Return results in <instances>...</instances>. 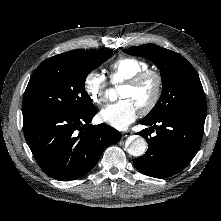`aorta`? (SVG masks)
<instances>
[{
  "mask_svg": "<svg viewBox=\"0 0 221 221\" xmlns=\"http://www.w3.org/2000/svg\"><path fill=\"white\" fill-rule=\"evenodd\" d=\"M146 149H147L146 140L141 136H137L131 142V144L129 145L127 151L132 156L140 157V156L145 154Z\"/></svg>",
  "mask_w": 221,
  "mask_h": 221,
  "instance_id": "obj_1",
  "label": "aorta"
}]
</instances>
